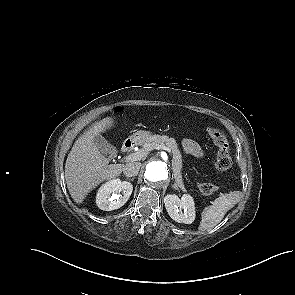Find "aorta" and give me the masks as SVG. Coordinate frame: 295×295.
<instances>
[{"label": "aorta", "instance_id": "1", "mask_svg": "<svg viewBox=\"0 0 295 295\" xmlns=\"http://www.w3.org/2000/svg\"><path fill=\"white\" fill-rule=\"evenodd\" d=\"M145 181L150 185H156L168 181L169 170L162 161L149 162L145 170Z\"/></svg>", "mask_w": 295, "mask_h": 295}]
</instances>
